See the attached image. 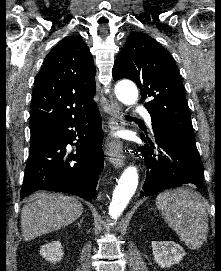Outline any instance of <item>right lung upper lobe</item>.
Segmentation results:
<instances>
[{"label":"right lung upper lobe","mask_w":221,"mask_h":271,"mask_svg":"<svg viewBox=\"0 0 221 271\" xmlns=\"http://www.w3.org/2000/svg\"><path fill=\"white\" fill-rule=\"evenodd\" d=\"M95 74L85 42L76 36L63 38L35 78L30 131L54 128L95 109Z\"/></svg>","instance_id":"1"}]
</instances>
